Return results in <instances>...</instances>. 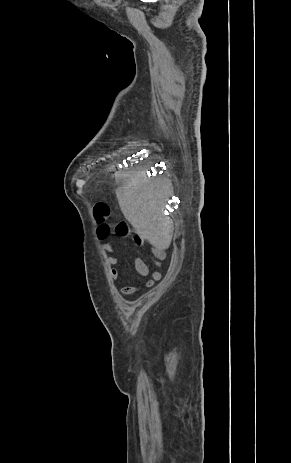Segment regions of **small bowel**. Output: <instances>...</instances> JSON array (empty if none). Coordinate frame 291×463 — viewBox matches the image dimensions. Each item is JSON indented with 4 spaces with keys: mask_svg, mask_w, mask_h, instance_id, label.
<instances>
[{
    "mask_svg": "<svg viewBox=\"0 0 291 463\" xmlns=\"http://www.w3.org/2000/svg\"><path fill=\"white\" fill-rule=\"evenodd\" d=\"M137 244H139V245L144 244L143 241L139 237H138ZM104 250L107 251V252H113L114 251L112 245H110L109 243H106L104 245ZM150 256H151L155 266L159 268L162 265V260H161L160 253L154 251V252H151ZM106 262L109 265V274H110L111 278L114 279V280L119 279L120 278V272L118 270V266L120 265V260L116 256L110 255V256H108L106 258ZM134 264H135V270H136V272L138 273L139 276L147 277L150 274L149 267L142 258L137 257L135 259ZM160 279H161V273L158 270H154V271L151 272L150 280H148L143 287L135 286V285H126V286H123L120 289V292L123 295H132V294H135L136 292L140 291L142 288H148V287L153 286L155 284V282L159 281Z\"/></svg>",
    "mask_w": 291,
    "mask_h": 463,
    "instance_id": "small-bowel-1",
    "label": "small bowel"
}]
</instances>
